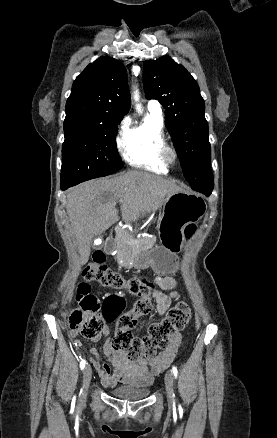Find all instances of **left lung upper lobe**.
Wrapping results in <instances>:
<instances>
[{
  "label": "left lung upper lobe",
  "mask_w": 277,
  "mask_h": 438,
  "mask_svg": "<svg viewBox=\"0 0 277 438\" xmlns=\"http://www.w3.org/2000/svg\"><path fill=\"white\" fill-rule=\"evenodd\" d=\"M143 83L146 98L158 99L165 108L166 126L190 187L212 192L208 123L197 82L181 64L163 56L144 62Z\"/></svg>",
  "instance_id": "obj_1"
}]
</instances>
